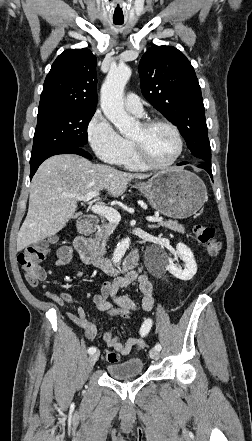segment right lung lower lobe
I'll return each mask as SVG.
<instances>
[{"label":"right lung lower lobe","instance_id":"1","mask_svg":"<svg viewBox=\"0 0 252 441\" xmlns=\"http://www.w3.org/2000/svg\"><path fill=\"white\" fill-rule=\"evenodd\" d=\"M57 154H77V155L83 156L88 159L92 158L88 152H86L85 150L82 149V147L66 146V147H59V148L49 150V151L43 153L42 155H40L38 158L30 160V168H31L30 179H32V177L35 174L36 170L38 169L39 165L44 160H46L47 158H49L53 155H57Z\"/></svg>","mask_w":252,"mask_h":441}]
</instances>
